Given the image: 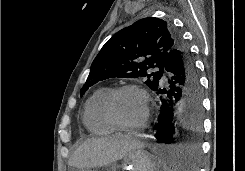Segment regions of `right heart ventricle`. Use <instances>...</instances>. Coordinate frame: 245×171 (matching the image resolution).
I'll return each mask as SVG.
<instances>
[{
  "instance_id": "obj_1",
  "label": "right heart ventricle",
  "mask_w": 245,
  "mask_h": 171,
  "mask_svg": "<svg viewBox=\"0 0 245 171\" xmlns=\"http://www.w3.org/2000/svg\"><path fill=\"white\" fill-rule=\"evenodd\" d=\"M109 91V87H100L93 92L85 103L83 122L87 130L93 134L105 135L116 130L103 112V101Z\"/></svg>"
}]
</instances>
